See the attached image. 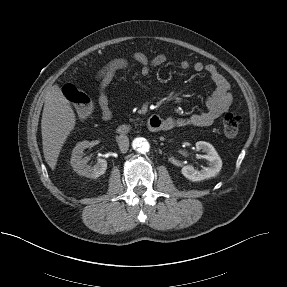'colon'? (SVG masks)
Returning <instances> with one entry per match:
<instances>
[{
	"label": "colon",
	"mask_w": 287,
	"mask_h": 287,
	"mask_svg": "<svg viewBox=\"0 0 287 287\" xmlns=\"http://www.w3.org/2000/svg\"><path fill=\"white\" fill-rule=\"evenodd\" d=\"M64 96L74 104L76 112L81 117H88L93 111V101L89 95L73 85L63 88ZM241 117L234 112H227L222 117V126L225 135L234 137L239 131Z\"/></svg>",
	"instance_id": "5ec220e1"
}]
</instances>
